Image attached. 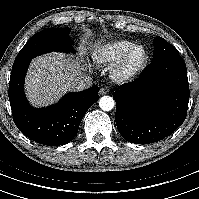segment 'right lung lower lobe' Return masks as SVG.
Masks as SVG:
<instances>
[{
  "label": "right lung lower lobe",
  "instance_id": "right-lung-lower-lobe-1",
  "mask_svg": "<svg viewBox=\"0 0 199 199\" xmlns=\"http://www.w3.org/2000/svg\"><path fill=\"white\" fill-rule=\"evenodd\" d=\"M30 62L28 60L12 67L8 95L14 123L26 137L37 143L47 146L67 144L76 136L87 110L99 99L98 86L68 93L53 106L33 108L23 89Z\"/></svg>",
  "mask_w": 199,
  "mask_h": 199
}]
</instances>
